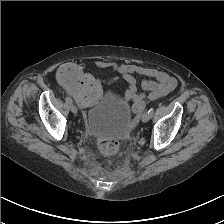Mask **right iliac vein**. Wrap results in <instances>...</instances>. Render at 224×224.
Returning a JSON list of instances; mask_svg holds the SVG:
<instances>
[{"label": "right iliac vein", "instance_id": "1", "mask_svg": "<svg viewBox=\"0 0 224 224\" xmlns=\"http://www.w3.org/2000/svg\"><path fill=\"white\" fill-rule=\"evenodd\" d=\"M70 110H71V112L74 113V114L77 113V108H76V106L73 105V104H70Z\"/></svg>", "mask_w": 224, "mask_h": 224}]
</instances>
